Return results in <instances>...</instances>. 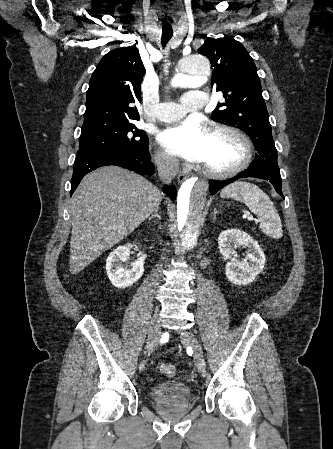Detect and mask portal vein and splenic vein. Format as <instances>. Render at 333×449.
Here are the masks:
<instances>
[{
  "label": "portal vein and splenic vein",
  "instance_id": "18ae733b",
  "mask_svg": "<svg viewBox=\"0 0 333 449\" xmlns=\"http://www.w3.org/2000/svg\"><path fill=\"white\" fill-rule=\"evenodd\" d=\"M245 217H247V219L249 221H253L254 220V217L252 215H250V214H246Z\"/></svg>",
  "mask_w": 333,
  "mask_h": 449
}]
</instances>
